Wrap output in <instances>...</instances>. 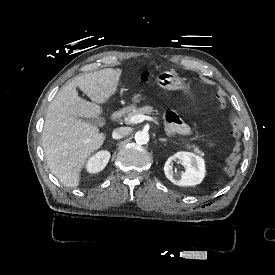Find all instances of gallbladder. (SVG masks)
I'll use <instances>...</instances> for the list:
<instances>
[{"label": "gallbladder", "instance_id": "1", "mask_svg": "<svg viewBox=\"0 0 275 275\" xmlns=\"http://www.w3.org/2000/svg\"><path fill=\"white\" fill-rule=\"evenodd\" d=\"M82 121L88 122L95 126H103L105 124V119L103 117L98 118H85V117H79Z\"/></svg>", "mask_w": 275, "mask_h": 275}]
</instances>
